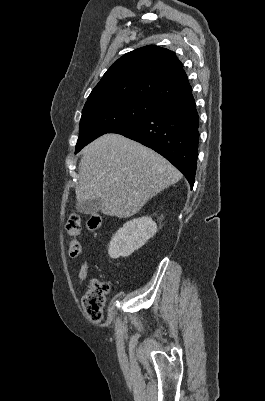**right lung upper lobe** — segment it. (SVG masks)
I'll list each match as a JSON object with an SVG mask.
<instances>
[{"instance_id":"cb5924a9","label":"right lung upper lobe","mask_w":265,"mask_h":401,"mask_svg":"<svg viewBox=\"0 0 265 401\" xmlns=\"http://www.w3.org/2000/svg\"><path fill=\"white\" fill-rule=\"evenodd\" d=\"M191 91L183 65L175 53L149 45L119 58L92 90L85 106L124 99L162 104Z\"/></svg>"}]
</instances>
